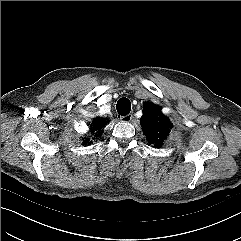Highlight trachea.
Here are the masks:
<instances>
[{
  "label": "trachea",
  "instance_id": "3493384b",
  "mask_svg": "<svg viewBox=\"0 0 241 241\" xmlns=\"http://www.w3.org/2000/svg\"><path fill=\"white\" fill-rule=\"evenodd\" d=\"M117 112L125 116L131 111V103L127 98H120L116 105Z\"/></svg>",
  "mask_w": 241,
  "mask_h": 241
}]
</instances>
